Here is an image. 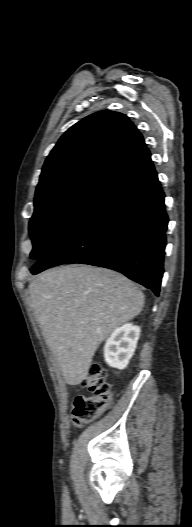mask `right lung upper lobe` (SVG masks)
Returning a JSON list of instances; mask_svg holds the SVG:
<instances>
[{
	"instance_id": "obj_1",
	"label": "right lung upper lobe",
	"mask_w": 192,
	"mask_h": 527,
	"mask_svg": "<svg viewBox=\"0 0 192 527\" xmlns=\"http://www.w3.org/2000/svg\"><path fill=\"white\" fill-rule=\"evenodd\" d=\"M145 149L127 116L110 110L91 114L59 139L45 161L36 194L85 177L109 181Z\"/></svg>"
}]
</instances>
